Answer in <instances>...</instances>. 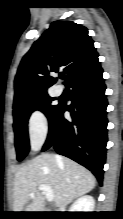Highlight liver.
Masks as SVG:
<instances>
[{"mask_svg":"<svg viewBox=\"0 0 123 219\" xmlns=\"http://www.w3.org/2000/svg\"><path fill=\"white\" fill-rule=\"evenodd\" d=\"M49 186L57 207L90 192L96 185L94 175L73 160L56 154H41L22 166L14 179V212H42L45 207L41 185ZM34 193L31 196V193Z\"/></svg>","mask_w":123,"mask_h":219,"instance_id":"6515ba94","label":"liver"}]
</instances>
